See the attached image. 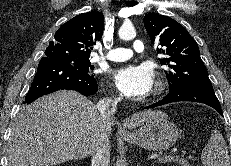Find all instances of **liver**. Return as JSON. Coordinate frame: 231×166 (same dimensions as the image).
I'll list each match as a JSON object with an SVG mask.
<instances>
[{"instance_id":"1","label":"liver","mask_w":231,"mask_h":166,"mask_svg":"<svg viewBox=\"0 0 231 166\" xmlns=\"http://www.w3.org/2000/svg\"><path fill=\"white\" fill-rule=\"evenodd\" d=\"M161 111L146 110L123 121L135 128ZM113 118L75 91H58L24 107L12 125L8 166H53L93 155L109 143Z\"/></svg>"}]
</instances>
